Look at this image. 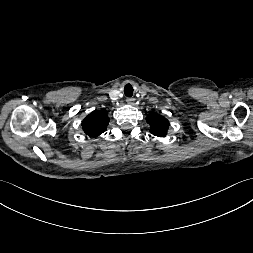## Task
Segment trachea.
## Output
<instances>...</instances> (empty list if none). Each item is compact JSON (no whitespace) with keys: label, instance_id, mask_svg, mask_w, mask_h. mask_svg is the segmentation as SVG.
Segmentation results:
<instances>
[{"label":"trachea","instance_id":"obj_1","mask_svg":"<svg viewBox=\"0 0 253 253\" xmlns=\"http://www.w3.org/2000/svg\"><path fill=\"white\" fill-rule=\"evenodd\" d=\"M124 93L127 97H131L133 95V87L131 84H127L124 88Z\"/></svg>","mask_w":253,"mask_h":253}]
</instances>
